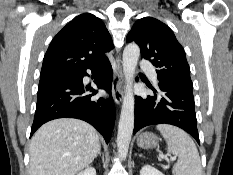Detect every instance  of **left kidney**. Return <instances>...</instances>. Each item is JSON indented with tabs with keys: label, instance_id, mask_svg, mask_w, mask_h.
Here are the masks:
<instances>
[{
	"label": "left kidney",
	"instance_id": "5707ae66",
	"mask_svg": "<svg viewBox=\"0 0 233 175\" xmlns=\"http://www.w3.org/2000/svg\"><path fill=\"white\" fill-rule=\"evenodd\" d=\"M140 175H164V174L149 165H145L142 167L140 171Z\"/></svg>",
	"mask_w": 233,
	"mask_h": 175
}]
</instances>
